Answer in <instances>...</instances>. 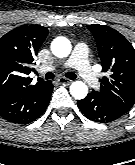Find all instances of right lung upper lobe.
<instances>
[{"label":"right lung upper lobe","instance_id":"right-lung-upper-lobe-1","mask_svg":"<svg viewBox=\"0 0 135 165\" xmlns=\"http://www.w3.org/2000/svg\"><path fill=\"white\" fill-rule=\"evenodd\" d=\"M48 35L40 25L17 27L0 38V93L13 88L44 86L48 81L38 79L35 85L28 76L35 57Z\"/></svg>","mask_w":135,"mask_h":165}]
</instances>
